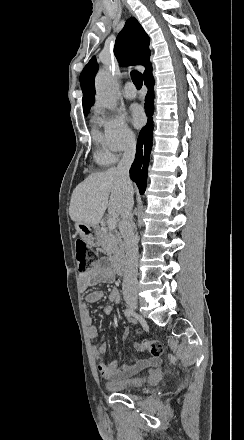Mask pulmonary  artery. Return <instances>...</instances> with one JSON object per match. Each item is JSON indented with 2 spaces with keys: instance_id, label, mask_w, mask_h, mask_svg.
<instances>
[{
  "instance_id": "pulmonary-artery-1",
  "label": "pulmonary artery",
  "mask_w": 244,
  "mask_h": 440,
  "mask_svg": "<svg viewBox=\"0 0 244 440\" xmlns=\"http://www.w3.org/2000/svg\"><path fill=\"white\" fill-rule=\"evenodd\" d=\"M125 91H124V97L126 99H133L136 97V88L134 87V84L131 82H127L124 85Z\"/></svg>"
}]
</instances>
